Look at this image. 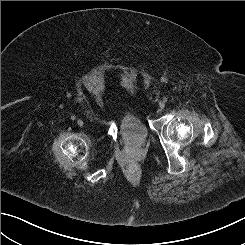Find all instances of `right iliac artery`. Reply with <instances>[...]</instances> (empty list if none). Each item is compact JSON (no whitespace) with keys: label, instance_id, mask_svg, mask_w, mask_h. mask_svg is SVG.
Segmentation results:
<instances>
[{"label":"right iliac artery","instance_id":"right-iliac-artery-1","mask_svg":"<svg viewBox=\"0 0 245 245\" xmlns=\"http://www.w3.org/2000/svg\"><path fill=\"white\" fill-rule=\"evenodd\" d=\"M76 119V117L73 115V116H71V120H75Z\"/></svg>","mask_w":245,"mask_h":245}]
</instances>
